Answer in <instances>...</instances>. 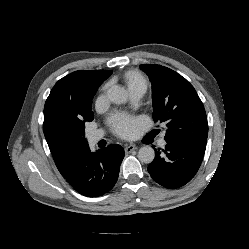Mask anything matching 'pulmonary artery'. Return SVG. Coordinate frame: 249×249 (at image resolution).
<instances>
[{"instance_id":"obj_1","label":"pulmonary artery","mask_w":249,"mask_h":249,"mask_svg":"<svg viewBox=\"0 0 249 249\" xmlns=\"http://www.w3.org/2000/svg\"><path fill=\"white\" fill-rule=\"evenodd\" d=\"M142 95H143V93H141V92L131 93V97H132V100L134 102H137L142 97ZM103 136H104V132L102 130H96V131L90 132L87 135V140H88L89 144L94 145L99 140H101L103 138ZM158 144L161 147H165L166 146L167 142H166V140L164 138V135L161 136V138L158 141Z\"/></svg>"}]
</instances>
